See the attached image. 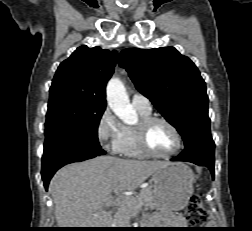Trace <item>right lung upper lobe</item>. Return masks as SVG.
I'll return each mask as SVG.
<instances>
[{
  "mask_svg": "<svg viewBox=\"0 0 252 231\" xmlns=\"http://www.w3.org/2000/svg\"><path fill=\"white\" fill-rule=\"evenodd\" d=\"M116 59L115 50L78 47L59 65L49 90V100L66 98L87 105L106 106L105 88Z\"/></svg>",
  "mask_w": 252,
  "mask_h": 231,
  "instance_id": "right-lung-upper-lobe-1",
  "label": "right lung upper lobe"
}]
</instances>
